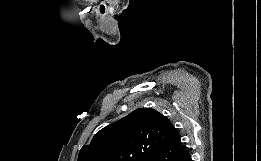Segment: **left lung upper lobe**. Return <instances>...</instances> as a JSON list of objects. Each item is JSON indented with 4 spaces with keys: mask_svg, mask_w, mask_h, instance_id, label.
<instances>
[{
    "mask_svg": "<svg viewBox=\"0 0 261 161\" xmlns=\"http://www.w3.org/2000/svg\"><path fill=\"white\" fill-rule=\"evenodd\" d=\"M176 134L161 113L139 108L97 132L91 143L81 148L78 161H150Z\"/></svg>",
    "mask_w": 261,
    "mask_h": 161,
    "instance_id": "5c2ea615",
    "label": "left lung upper lobe"
}]
</instances>
